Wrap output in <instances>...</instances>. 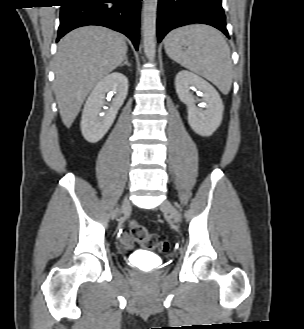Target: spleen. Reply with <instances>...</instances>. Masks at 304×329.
<instances>
[{
	"label": "spleen",
	"mask_w": 304,
	"mask_h": 329,
	"mask_svg": "<svg viewBox=\"0 0 304 329\" xmlns=\"http://www.w3.org/2000/svg\"><path fill=\"white\" fill-rule=\"evenodd\" d=\"M165 51L181 66L211 81L223 94L229 93L233 73L230 48L217 29L202 24L175 29L166 37Z\"/></svg>",
	"instance_id": "obj_1"
}]
</instances>
